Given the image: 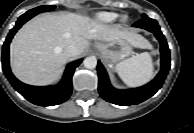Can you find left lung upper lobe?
<instances>
[{"label": "left lung upper lobe", "mask_w": 194, "mask_h": 133, "mask_svg": "<svg viewBox=\"0 0 194 133\" xmlns=\"http://www.w3.org/2000/svg\"><path fill=\"white\" fill-rule=\"evenodd\" d=\"M142 16H143V17H146V15H145V14H143Z\"/></svg>", "instance_id": "1"}]
</instances>
